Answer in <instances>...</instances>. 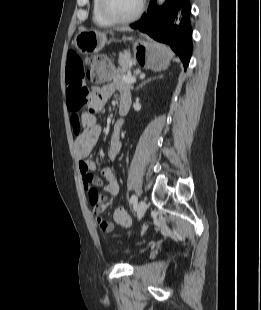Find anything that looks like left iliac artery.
<instances>
[{"label": "left iliac artery", "mask_w": 261, "mask_h": 310, "mask_svg": "<svg viewBox=\"0 0 261 310\" xmlns=\"http://www.w3.org/2000/svg\"><path fill=\"white\" fill-rule=\"evenodd\" d=\"M130 203H136L137 202V196L136 195H132L130 200H129Z\"/></svg>", "instance_id": "44dca946"}]
</instances>
